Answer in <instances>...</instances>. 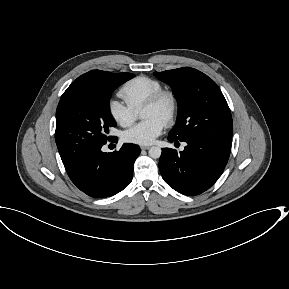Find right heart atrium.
<instances>
[{
	"label": "right heart atrium",
	"mask_w": 289,
	"mask_h": 289,
	"mask_svg": "<svg viewBox=\"0 0 289 289\" xmlns=\"http://www.w3.org/2000/svg\"><path fill=\"white\" fill-rule=\"evenodd\" d=\"M108 110L112 119L122 127L131 126L137 117V112L133 108L116 99L109 101Z\"/></svg>",
	"instance_id": "d8ad5b80"
}]
</instances>
